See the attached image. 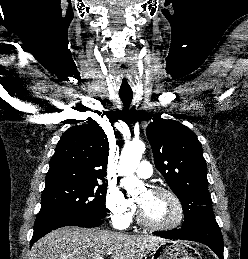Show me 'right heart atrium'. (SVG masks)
<instances>
[{"label": "right heart atrium", "mask_w": 248, "mask_h": 259, "mask_svg": "<svg viewBox=\"0 0 248 259\" xmlns=\"http://www.w3.org/2000/svg\"><path fill=\"white\" fill-rule=\"evenodd\" d=\"M109 220L117 229H126L135 216L136 207L120 190L111 189L106 197Z\"/></svg>", "instance_id": "right-heart-atrium-1"}]
</instances>
